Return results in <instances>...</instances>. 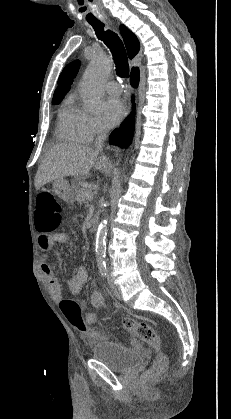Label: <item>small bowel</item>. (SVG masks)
<instances>
[{
  "mask_svg": "<svg viewBox=\"0 0 231 419\" xmlns=\"http://www.w3.org/2000/svg\"><path fill=\"white\" fill-rule=\"evenodd\" d=\"M69 241V237L64 232H57L53 235L40 234L38 236V245L43 251V263L41 265L42 273L47 280L48 288L52 299L56 303L62 301V290L56 276L54 267L47 263V253L52 250L55 244H65ZM88 280V271L84 266L78 267L75 273L68 281V289L71 294L78 295ZM91 305L96 309H101L105 304L104 296L99 291H94L90 299ZM84 319L87 324L92 325L97 323V315L94 312H86ZM96 331V330H95ZM96 339L101 338L103 334L96 331Z\"/></svg>",
  "mask_w": 231,
  "mask_h": 419,
  "instance_id": "c3829d8e",
  "label": "small bowel"
}]
</instances>
